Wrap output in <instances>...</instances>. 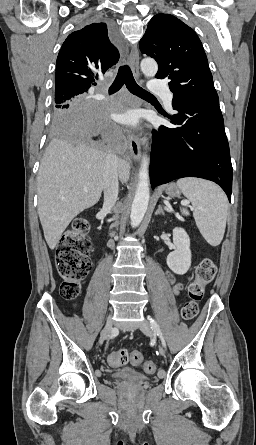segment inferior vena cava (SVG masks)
Segmentation results:
<instances>
[{
	"label": "inferior vena cava",
	"instance_id": "602c4592",
	"mask_svg": "<svg viewBox=\"0 0 256 445\" xmlns=\"http://www.w3.org/2000/svg\"><path fill=\"white\" fill-rule=\"evenodd\" d=\"M118 157L109 153L106 155L103 173L104 207L113 208L118 199Z\"/></svg>",
	"mask_w": 256,
	"mask_h": 445
}]
</instances>
